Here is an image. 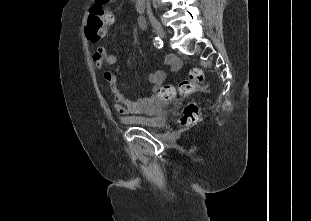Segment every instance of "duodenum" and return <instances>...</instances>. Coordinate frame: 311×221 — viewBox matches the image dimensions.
Returning <instances> with one entry per match:
<instances>
[{"label":"duodenum","instance_id":"obj_1","mask_svg":"<svg viewBox=\"0 0 311 221\" xmlns=\"http://www.w3.org/2000/svg\"><path fill=\"white\" fill-rule=\"evenodd\" d=\"M147 0H134L135 8L138 11H142L145 8ZM138 26L142 28L144 26L143 22H139Z\"/></svg>","mask_w":311,"mask_h":221}]
</instances>
